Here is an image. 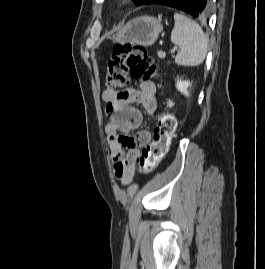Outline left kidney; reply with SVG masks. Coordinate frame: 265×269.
<instances>
[{"mask_svg": "<svg viewBox=\"0 0 265 269\" xmlns=\"http://www.w3.org/2000/svg\"><path fill=\"white\" fill-rule=\"evenodd\" d=\"M191 86L190 81H183V80H177L176 88L178 91H180L185 96L189 95V92L187 91L188 87Z\"/></svg>", "mask_w": 265, "mask_h": 269, "instance_id": "5707ae66", "label": "left kidney"}]
</instances>
